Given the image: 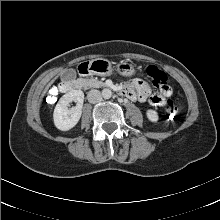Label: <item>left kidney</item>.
<instances>
[{
  "mask_svg": "<svg viewBox=\"0 0 220 220\" xmlns=\"http://www.w3.org/2000/svg\"><path fill=\"white\" fill-rule=\"evenodd\" d=\"M146 115L151 122H157L159 119L158 113L152 109L147 110Z\"/></svg>",
  "mask_w": 220,
  "mask_h": 220,
  "instance_id": "1",
  "label": "left kidney"
}]
</instances>
